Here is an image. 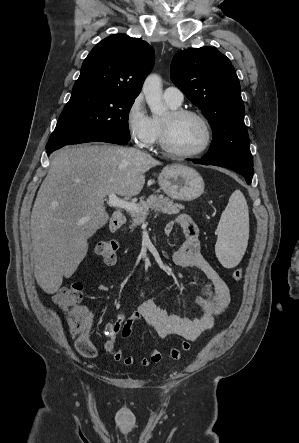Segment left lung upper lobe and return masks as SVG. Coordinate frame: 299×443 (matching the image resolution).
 Returning <instances> with one entry per match:
<instances>
[{
    "mask_svg": "<svg viewBox=\"0 0 299 443\" xmlns=\"http://www.w3.org/2000/svg\"><path fill=\"white\" fill-rule=\"evenodd\" d=\"M171 79L212 128L203 159L218 166H253L240 83L230 60L213 47L180 51L171 63Z\"/></svg>",
    "mask_w": 299,
    "mask_h": 443,
    "instance_id": "1",
    "label": "left lung upper lobe"
}]
</instances>
